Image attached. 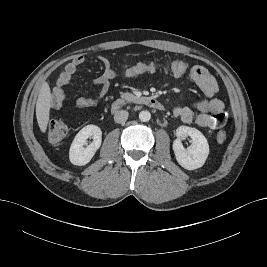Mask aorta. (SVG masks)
Listing matches in <instances>:
<instances>
[{
	"label": "aorta",
	"mask_w": 267,
	"mask_h": 267,
	"mask_svg": "<svg viewBox=\"0 0 267 267\" xmlns=\"http://www.w3.org/2000/svg\"><path fill=\"white\" fill-rule=\"evenodd\" d=\"M151 118V114L149 111L145 110V111H141L139 113V119L142 121V122H148Z\"/></svg>",
	"instance_id": "1"
}]
</instances>
